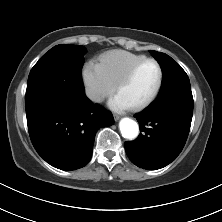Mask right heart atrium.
<instances>
[{
    "label": "right heart atrium",
    "instance_id": "right-heart-atrium-1",
    "mask_svg": "<svg viewBox=\"0 0 222 222\" xmlns=\"http://www.w3.org/2000/svg\"><path fill=\"white\" fill-rule=\"evenodd\" d=\"M83 82L87 97L94 103H101L115 89V85L106 78L99 65L94 61H88L84 65Z\"/></svg>",
    "mask_w": 222,
    "mask_h": 222
}]
</instances>
